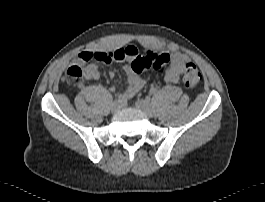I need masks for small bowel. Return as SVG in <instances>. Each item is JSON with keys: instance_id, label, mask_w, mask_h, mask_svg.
Masks as SVG:
<instances>
[{"instance_id": "c3829d8e", "label": "small bowel", "mask_w": 265, "mask_h": 202, "mask_svg": "<svg viewBox=\"0 0 265 202\" xmlns=\"http://www.w3.org/2000/svg\"><path fill=\"white\" fill-rule=\"evenodd\" d=\"M126 52H131L132 55L126 57L125 61L127 64L124 67V73L126 77L127 88L123 92L122 97L124 99H129L135 96L144 86L145 81L136 75L130 66V62L138 54V51L135 47L124 48ZM107 52L103 51H80L76 54L74 61L83 65L85 78L88 80H96L99 78L100 73L96 64L92 63V60H98L95 58V55L106 54ZM90 56V58H89ZM171 63L164 74V79L166 82L174 84L177 83L183 75L185 65L191 62V59L188 55L181 52H173L170 54ZM99 61V60H98ZM122 61V60H121ZM110 77L115 76L114 72L111 70L109 73ZM111 92L115 91L114 87H110Z\"/></svg>"}]
</instances>
